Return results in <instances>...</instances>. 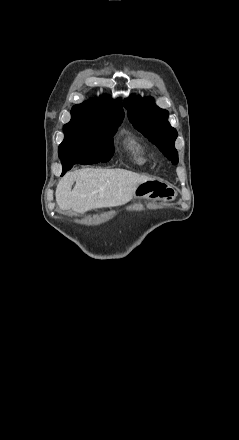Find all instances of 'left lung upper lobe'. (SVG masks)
Listing matches in <instances>:
<instances>
[{
	"label": "left lung upper lobe",
	"mask_w": 239,
	"mask_h": 440,
	"mask_svg": "<svg viewBox=\"0 0 239 440\" xmlns=\"http://www.w3.org/2000/svg\"><path fill=\"white\" fill-rule=\"evenodd\" d=\"M127 115L133 126L146 136L173 163H178L174 142L178 134L168 122V112L155 105L152 97L135 94L124 100Z\"/></svg>",
	"instance_id": "left-lung-upper-lobe-1"
}]
</instances>
